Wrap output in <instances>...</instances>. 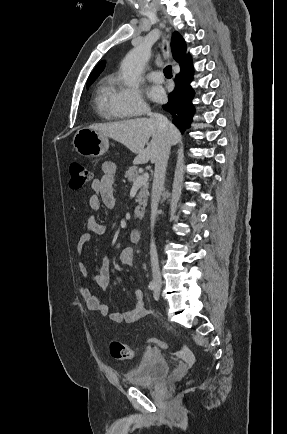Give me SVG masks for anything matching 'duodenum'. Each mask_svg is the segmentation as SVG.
<instances>
[{
  "mask_svg": "<svg viewBox=\"0 0 287 434\" xmlns=\"http://www.w3.org/2000/svg\"><path fill=\"white\" fill-rule=\"evenodd\" d=\"M130 240L133 243H137L141 240V231L139 229H133L130 233Z\"/></svg>",
  "mask_w": 287,
  "mask_h": 434,
  "instance_id": "1",
  "label": "duodenum"
}]
</instances>
